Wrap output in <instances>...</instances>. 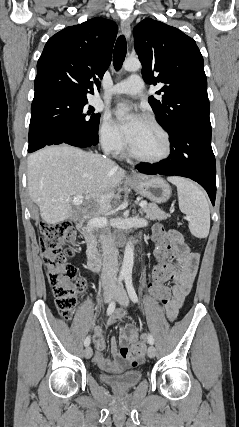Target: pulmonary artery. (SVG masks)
Listing matches in <instances>:
<instances>
[{
	"instance_id": "1",
	"label": "pulmonary artery",
	"mask_w": 239,
	"mask_h": 427,
	"mask_svg": "<svg viewBox=\"0 0 239 427\" xmlns=\"http://www.w3.org/2000/svg\"><path fill=\"white\" fill-rule=\"evenodd\" d=\"M144 89V82L142 78L138 75H132L127 79L115 84L111 90L110 94L112 95H139Z\"/></svg>"
}]
</instances>
